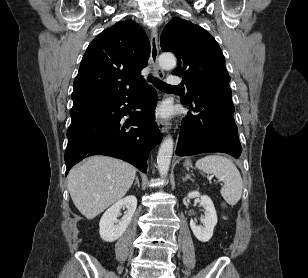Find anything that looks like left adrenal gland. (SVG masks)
Masks as SVG:
<instances>
[{
	"instance_id": "left-adrenal-gland-1",
	"label": "left adrenal gland",
	"mask_w": 308,
	"mask_h": 278,
	"mask_svg": "<svg viewBox=\"0 0 308 278\" xmlns=\"http://www.w3.org/2000/svg\"><path fill=\"white\" fill-rule=\"evenodd\" d=\"M188 179H189V180H191V181H193V180L191 179V177H190V175H189V174H187V175H186V177H185V178H183V181H186V180H188Z\"/></svg>"
}]
</instances>
